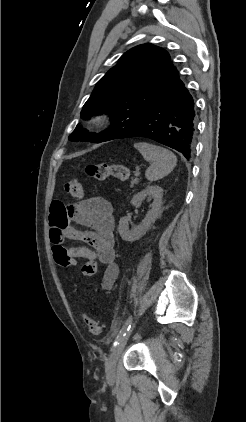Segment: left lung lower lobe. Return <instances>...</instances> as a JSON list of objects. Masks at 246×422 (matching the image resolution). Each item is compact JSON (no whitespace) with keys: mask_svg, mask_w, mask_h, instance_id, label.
<instances>
[{"mask_svg":"<svg viewBox=\"0 0 246 422\" xmlns=\"http://www.w3.org/2000/svg\"><path fill=\"white\" fill-rule=\"evenodd\" d=\"M196 111L192 95L177 74L145 114L118 138L146 137L181 152L193 154Z\"/></svg>","mask_w":246,"mask_h":422,"instance_id":"1","label":"left lung lower lobe"}]
</instances>
